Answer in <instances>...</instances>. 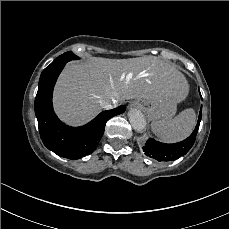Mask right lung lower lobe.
Wrapping results in <instances>:
<instances>
[{
	"label": "right lung lower lobe",
	"mask_w": 229,
	"mask_h": 229,
	"mask_svg": "<svg viewBox=\"0 0 229 229\" xmlns=\"http://www.w3.org/2000/svg\"><path fill=\"white\" fill-rule=\"evenodd\" d=\"M67 62L43 70L35 98V114L40 137L44 145L59 156L79 159L94 151L100 141L105 123L125 111V106L101 112L82 127H70L62 123L53 111L52 93L56 80Z\"/></svg>",
	"instance_id": "98d812e1"
}]
</instances>
